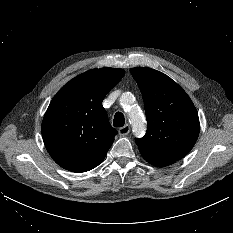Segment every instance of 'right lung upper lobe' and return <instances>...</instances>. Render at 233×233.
<instances>
[{"mask_svg":"<svg viewBox=\"0 0 233 233\" xmlns=\"http://www.w3.org/2000/svg\"><path fill=\"white\" fill-rule=\"evenodd\" d=\"M124 74L120 68L92 69L70 80L54 96L41 129L46 149L58 165L86 172L104 160L117 131L102 101Z\"/></svg>","mask_w":233,"mask_h":233,"instance_id":"cb5924a9","label":"right lung upper lobe"}]
</instances>
